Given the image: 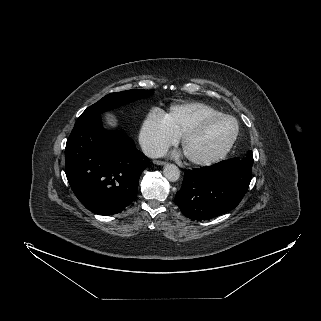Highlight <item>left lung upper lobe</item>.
I'll use <instances>...</instances> for the list:
<instances>
[{
	"mask_svg": "<svg viewBox=\"0 0 321 321\" xmlns=\"http://www.w3.org/2000/svg\"><path fill=\"white\" fill-rule=\"evenodd\" d=\"M247 156H251V157H253V155H252V151H248V152H247Z\"/></svg>",
	"mask_w": 321,
	"mask_h": 321,
	"instance_id": "obj_1",
	"label": "left lung upper lobe"
}]
</instances>
